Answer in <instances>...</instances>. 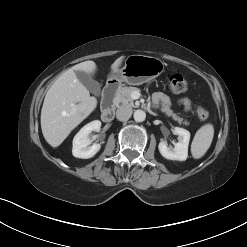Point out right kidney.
Returning <instances> with one entry per match:
<instances>
[{"mask_svg": "<svg viewBox=\"0 0 247 247\" xmlns=\"http://www.w3.org/2000/svg\"><path fill=\"white\" fill-rule=\"evenodd\" d=\"M101 122L92 121L80 129L73 139L72 154L76 158L88 159L93 157L101 148L100 144L94 143L89 138L92 131H100Z\"/></svg>", "mask_w": 247, "mask_h": 247, "instance_id": "1", "label": "right kidney"}]
</instances>
